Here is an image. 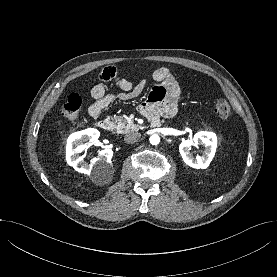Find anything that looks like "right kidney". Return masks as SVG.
<instances>
[{
  "mask_svg": "<svg viewBox=\"0 0 277 277\" xmlns=\"http://www.w3.org/2000/svg\"><path fill=\"white\" fill-rule=\"evenodd\" d=\"M100 136L98 130L94 128L85 129L71 134L67 139L66 146V160L76 171L84 174H90L94 164L96 163H110L113 151L111 149H104L100 151L99 157L95 158L91 164L84 162L83 156L78 154L89 147L90 143L96 141Z\"/></svg>",
  "mask_w": 277,
  "mask_h": 277,
  "instance_id": "obj_1",
  "label": "right kidney"
}]
</instances>
